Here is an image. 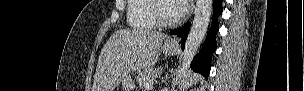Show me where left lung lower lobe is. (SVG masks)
<instances>
[{
  "label": "left lung lower lobe",
  "mask_w": 304,
  "mask_h": 91,
  "mask_svg": "<svg viewBox=\"0 0 304 91\" xmlns=\"http://www.w3.org/2000/svg\"><path fill=\"white\" fill-rule=\"evenodd\" d=\"M222 1L223 0H214L211 28L199 54L194 57L191 64V68L194 71L199 72L205 78H208L211 67L212 54L217 47L216 33L219 29L218 16L222 13ZM189 27L190 23L186 24L183 28L171 31V34H178L179 36H182V49H184L185 46L184 43L189 32Z\"/></svg>",
  "instance_id": "1"
}]
</instances>
